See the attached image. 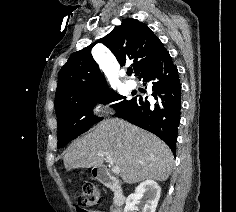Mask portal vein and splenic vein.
I'll list each match as a JSON object with an SVG mask.
<instances>
[{"mask_svg": "<svg viewBox=\"0 0 236 212\" xmlns=\"http://www.w3.org/2000/svg\"><path fill=\"white\" fill-rule=\"evenodd\" d=\"M98 155L105 156L107 162L112 165V169H111L112 173H114V174H119L120 173V168L118 166H113V161H112V158L110 157V155H108L104 152H100Z\"/></svg>", "mask_w": 236, "mask_h": 212, "instance_id": "obj_1", "label": "portal vein and splenic vein"}]
</instances>
